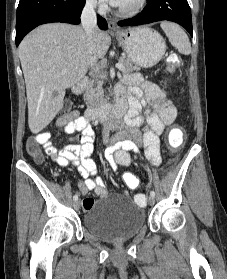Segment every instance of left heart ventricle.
<instances>
[{"label":"left heart ventricle","mask_w":227,"mask_h":279,"mask_svg":"<svg viewBox=\"0 0 227 279\" xmlns=\"http://www.w3.org/2000/svg\"><path fill=\"white\" fill-rule=\"evenodd\" d=\"M137 0H123L119 5L122 8H130L135 5Z\"/></svg>","instance_id":"1"}]
</instances>
